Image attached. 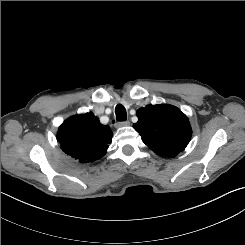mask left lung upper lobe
I'll list each match as a JSON object with an SVG mask.
<instances>
[{
  "label": "left lung upper lobe",
  "mask_w": 245,
  "mask_h": 245,
  "mask_svg": "<svg viewBox=\"0 0 245 245\" xmlns=\"http://www.w3.org/2000/svg\"><path fill=\"white\" fill-rule=\"evenodd\" d=\"M136 115L138 122L133 127L156 154L173 158L189 143L191 126L187 116L177 107L148 105L138 109Z\"/></svg>",
  "instance_id": "5c2ea615"
}]
</instances>
